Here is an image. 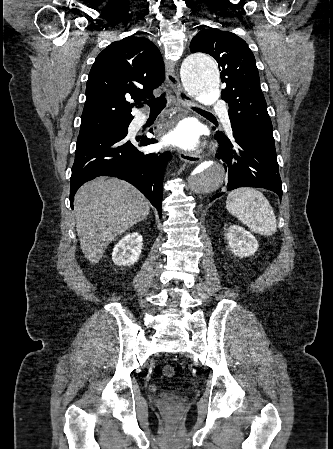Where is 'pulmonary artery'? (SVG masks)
<instances>
[{
  "label": "pulmonary artery",
  "instance_id": "1",
  "mask_svg": "<svg viewBox=\"0 0 333 449\" xmlns=\"http://www.w3.org/2000/svg\"><path fill=\"white\" fill-rule=\"evenodd\" d=\"M218 105H220V103H217V106H218ZM225 118L228 119V118H227V115L225 116ZM144 121H145V118H144V117H143V118H140V119L138 120V124H143Z\"/></svg>",
  "mask_w": 333,
  "mask_h": 449
}]
</instances>
